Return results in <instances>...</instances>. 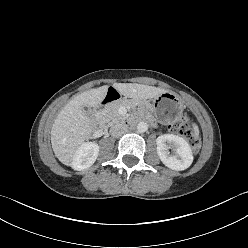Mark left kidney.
<instances>
[{"label": "left kidney", "mask_w": 248, "mask_h": 248, "mask_svg": "<svg viewBox=\"0 0 248 248\" xmlns=\"http://www.w3.org/2000/svg\"><path fill=\"white\" fill-rule=\"evenodd\" d=\"M156 144L157 154L168 168L182 171L192 164V150L184 138L174 134H163L157 138ZM169 149H172V154Z\"/></svg>", "instance_id": "5707ae66"}]
</instances>
